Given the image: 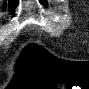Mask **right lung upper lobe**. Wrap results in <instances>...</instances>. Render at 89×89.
Instances as JSON below:
<instances>
[{
	"mask_svg": "<svg viewBox=\"0 0 89 89\" xmlns=\"http://www.w3.org/2000/svg\"><path fill=\"white\" fill-rule=\"evenodd\" d=\"M18 5V0H10L9 1V8L14 9Z\"/></svg>",
	"mask_w": 89,
	"mask_h": 89,
	"instance_id": "right-lung-upper-lobe-1",
	"label": "right lung upper lobe"
}]
</instances>
